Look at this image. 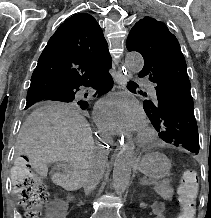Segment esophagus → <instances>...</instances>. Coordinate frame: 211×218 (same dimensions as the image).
<instances>
[{
  "mask_svg": "<svg viewBox=\"0 0 211 218\" xmlns=\"http://www.w3.org/2000/svg\"><path fill=\"white\" fill-rule=\"evenodd\" d=\"M128 76H129V72L127 71L125 72L123 69L118 68L115 76V81L116 83L124 84L126 83V79ZM114 135L117 137V139H115V144H126L127 141H131V136H127L126 132H118V133L116 132ZM114 149L120 150L123 149V146L115 145Z\"/></svg>",
  "mask_w": 211,
  "mask_h": 218,
  "instance_id": "esophagus-1",
  "label": "esophagus"
}]
</instances>
